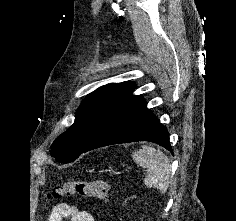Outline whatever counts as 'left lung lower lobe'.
<instances>
[{
	"mask_svg": "<svg viewBox=\"0 0 236 221\" xmlns=\"http://www.w3.org/2000/svg\"><path fill=\"white\" fill-rule=\"evenodd\" d=\"M146 104L140 96L128 97L105 119L80 154L102 146L135 141L154 142L172 152L169 132Z\"/></svg>",
	"mask_w": 236,
	"mask_h": 221,
	"instance_id": "left-lung-lower-lobe-1",
	"label": "left lung lower lobe"
}]
</instances>
